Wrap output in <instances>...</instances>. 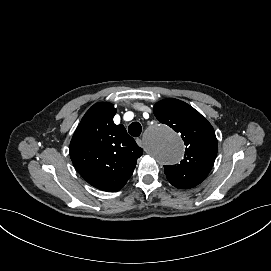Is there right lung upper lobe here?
<instances>
[{"instance_id":"right-lung-upper-lobe-1","label":"right lung upper lobe","mask_w":271,"mask_h":271,"mask_svg":"<svg viewBox=\"0 0 271 271\" xmlns=\"http://www.w3.org/2000/svg\"><path fill=\"white\" fill-rule=\"evenodd\" d=\"M111 103L93 105L70 142V157L79 174L97 189L119 191L131 177L142 155L123 125H115Z\"/></svg>"}]
</instances>
